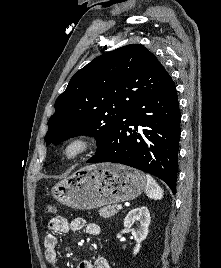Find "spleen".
Masks as SVG:
<instances>
[{
	"label": "spleen",
	"mask_w": 221,
	"mask_h": 268,
	"mask_svg": "<svg viewBox=\"0 0 221 268\" xmlns=\"http://www.w3.org/2000/svg\"><path fill=\"white\" fill-rule=\"evenodd\" d=\"M146 195L150 199L160 200L163 197L162 188L156 183L153 177L149 174L146 175Z\"/></svg>",
	"instance_id": "spleen-1"
}]
</instances>
